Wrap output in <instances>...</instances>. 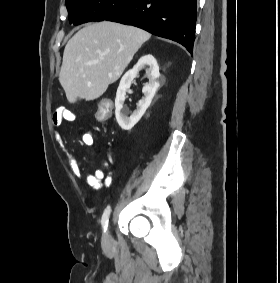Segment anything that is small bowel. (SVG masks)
<instances>
[{
  "mask_svg": "<svg viewBox=\"0 0 280 283\" xmlns=\"http://www.w3.org/2000/svg\"><path fill=\"white\" fill-rule=\"evenodd\" d=\"M76 119V115L70 109L61 107L58 108L53 114V123L57 126L62 125L64 122H73ZM56 141L60 144L70 167L71 172L77 176H82V168L78 162L75 155L65 146L63 136L60 133L55 134ZM81 141L86 146H91L94 143V137L91 133H84L81 136ZM112 162L107 159L103 161V167L105 169H110ZM106 174L103 169H98L93 173H86L85 180L87 184L95 190H99L103 186V180L105 179ZM111 182V178H106V184Z\"/></svg>",
  "mask_w": 280,
  "mask_h": 283,
  "instance_id": "c3829d8e",
  "label": "small bowel"
}]
</instances>
